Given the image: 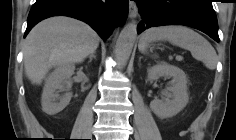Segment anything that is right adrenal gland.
Returning a JSON list of instances; mask_svg holds the SVG:
<instances>
[{"instance_id": "1", "label": "right adrenal gland", "mask_w": 236, "mask_h": 140, "mask_svg": "<svg viewBox=\"0 0 236 140\" xmlns=\"http://www.w3.org/2000/svg\"><path fill=\"white\" fill-rule=\"evenodd\" d=\"M93 58H96L95 52L89 55V62H91Z\"/></svg>"}]
</instances>
